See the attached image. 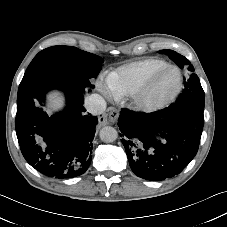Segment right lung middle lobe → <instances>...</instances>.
Listing matches in <instances>:
<instances>
[{
	"instance_id": "obj_1",
	"label": "right lung middle lobe",
	"mask_w": 227,
	"mask_h": 227,
	"mask_svg": "<svg viewBox=\"0 0 227 227\" xmlns=\"http://www.w3.org/2000/svg\"><path fill=\"white\" fill-rule=\"evenodd\" d=\"M103 59L76 47L52 46L40 51L29 64L19 85L18 95L47 82L77 83L88 87L97 77Z\"/></svg>"
}]
</instances>
